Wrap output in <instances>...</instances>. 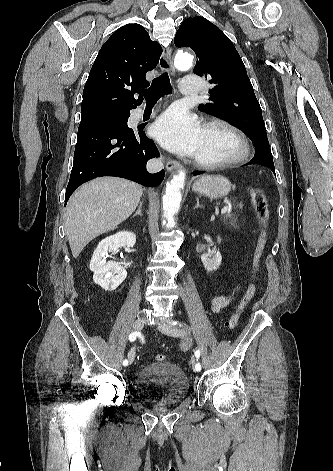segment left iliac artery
<instances>
[{"label": "left iliac artery", "instance_id": "1", "mask_svg": "<svg viewBox=\"0 0 333 471\" xmlns=\"http://www.w3.org/2000/svg\"><path fill=\"white\" fill-rule=\"evenodd\" d=\"M172 324H173V325L182 326V324H180V323L177 322V321H173ZM195 357L197 358V363H196V365H195V370L199 372V371L201 370V364H200V362L198 361L199 358H200V350H199V349H196V351H195Z\"/></svg>", "mask_w": 333, "mask_h": 471}]
</instances>
